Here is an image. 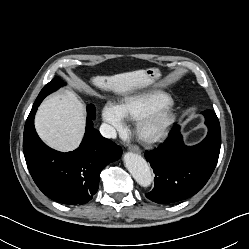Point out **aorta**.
Listing matches in <instances>:
<instances>
[{"instance_id":"762f6f07","label":"aorta","mask_w":249,"mask_h":249,"mask_svg":"<svg viewBox=\"0 0 249 249\" xmlns=\"http://www.w3.org/2000/svg\"><path fill=\"white\" fill-rule=\"evenodd\" d=\"M124 164L135 181L142 187H149L152 183V173L146 160L132 152L124 155Z\"/></svg>"}]
</instances>
